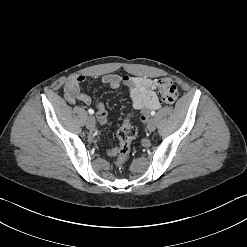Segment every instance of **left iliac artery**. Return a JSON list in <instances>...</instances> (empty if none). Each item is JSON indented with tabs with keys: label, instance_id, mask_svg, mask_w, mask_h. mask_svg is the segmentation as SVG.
I'll use <instances>...</instances> for the list:
<instances>
[{
	"label": "left iliac artery",
	"instance_id": "obj_1",
	"mask_svg": "<svg viewBox=\"0 0 247 247\" xmlns=\"http://www.w3.org/2000/svg\"><path fill=\"white\" fill-rule=\"evenodd\" d=\"M151 115L154 116V115H155V111H152V112H151Z\"/></svg>",
	"mask_w": 247,
	"mask_h": 247
}]
</instances>
